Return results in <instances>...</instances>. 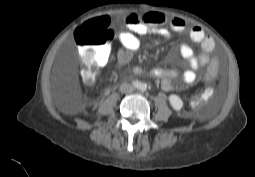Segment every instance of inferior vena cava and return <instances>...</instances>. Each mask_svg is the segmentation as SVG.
Returning <instances> with one entry per match:
<instances>
[{
    "label": "inferior vena cava",
    "mask_w": 255,
    "mask_h": 177,
    "mask_svg": "<svg viewBox=\"0 0 255 177\" xmlns=\"http://www.w3.org/2000/svg\"><path fill=\"white\" fill-rule=\"evenodd\" d=\"M120 91L125 94H130L134 91V87L131 84L123 83L120 86Z\"/></svg>",
    "instance_id": "1"
}]
</instances>
